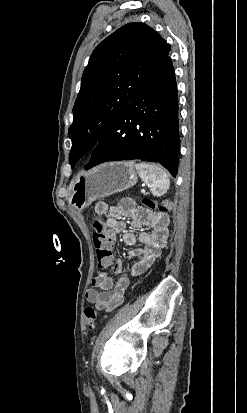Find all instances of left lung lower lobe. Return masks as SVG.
<instances>
[{
  "mask_svg": "<svg viewBox=\"0 0 247 413\" xmlns=\"http://www.w3.org/2000/svg\"><path fill=\"white\" fill-rule=\"evenodd\" d=\"M179 153L177 85L167 55L96 145L85 169L140 159L160 163L175 177Z\"/></svg>",
  "mask_w": 247,
  "mask_h": 413,
  "instance_id": "0a47b994",
  "label": "left lung lower lobe"
}]
</instances>
